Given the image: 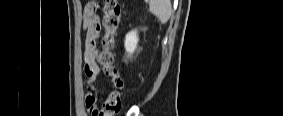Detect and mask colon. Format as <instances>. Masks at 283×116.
I'll return each mask as SVG.
<instances>
[{
	"instance_id": "1",
	"label": "colon",
	"mask_w": 283,
	"mask_h": 116,
	"mask_svg": "<svg viewBox=\"0 0 283 116\" xmlns=\"http://www.w3.org/2000/svg\"><path fill=\"white\" fill-rule=\"evenodd\" d=\"M103 24L105 34L101 41V52L99 62L105 76L110 80V92L100 109H95L93 115L102 113L103 116H114L121 109V94L125 84L122 75L115 63L114 48L116 45V34L121 24V6L118 0L104 1Z\"/></svg>"
}]
</instances>
